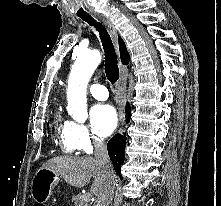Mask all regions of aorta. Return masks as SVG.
<instances>
[{"label":"aorta","mask_w":221,"mask_h":206,"mask_svg":"<svg viewBox=\"0 0 221 206\" xmlns=\"http://www.w3.org/2000/svg\"><path fill=\"white\" fill-rule=\"evenodd\" d=\"M101 61L98 50L80 52L74 62L67 86V111L76 121L87 119V85Z\"/></svg>","instance_id":"aorta-1"}]
</instances>
